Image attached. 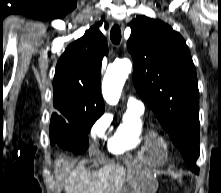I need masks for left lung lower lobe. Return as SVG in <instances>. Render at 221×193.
Here are the masks:
<instances>
[{
  "mask_svg": "<svg viewBox=\"0 0 221 193\" xmlns=\"http://www.w3.org/2000/svg\"><path fill=\"white\" fill-rule=\"evenodd\" d=\"M189 168L195 172V173H198L199 172V168L197 167V164L194 163V164H188Z\"/></svg>",
  "mask_w": 221,
  "mask_h": 193,
  "instance_id": "obj_1",
  "label": "left lung lower lobe"
}]
</instances>
